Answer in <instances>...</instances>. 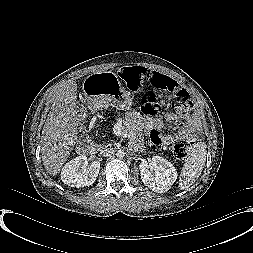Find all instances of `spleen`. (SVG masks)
Returning <instances> with one entry per match:
<instances>
[{
	"label": "spleen",
	"mask_w": 253,
	"mask_h": 253,
	"mask_svg": "<svg viewBox=\"0 0 253 253\" xmlns=\"http://www.w3.org/2000/svg\"><path fill=\"white\" fill-rule=\"evenodd\" d=\"M206 161V145L197 143L193 146L190 155L180 174L179 184L181 189L187 188L201 174Z\"/></svg>",
	"instance_id": "obj_1"
}]
</instances>
